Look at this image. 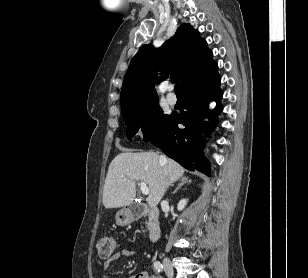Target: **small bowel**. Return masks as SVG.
I'll use <instances>...</instances> for the list:
<instances>
[{
    "label": "small bowel",
    "mask_w": 308,
    "mask_h": 278,
    "mask_svg": "<svg viewBox=\"0 0 308 278\" xmlns=\"http://www.w3.org/2000/svg\"><path fill=\"white\" fill-rule=\"evenodd\" d=\"M135 255L136 252L134 250L122 248L119 251L115 252L113 255H111L109 259L104 262L103 268L107 269L112 263L120 260H129L135 257ZM103 278H109V277L107 275H104ZM127 278H159V277L151 275L146 271H139L129 275Z\"/></svg>",
    "instance_id": "1"
}]
</instances>
